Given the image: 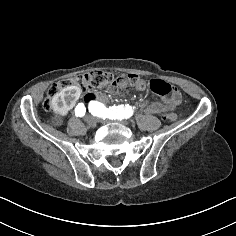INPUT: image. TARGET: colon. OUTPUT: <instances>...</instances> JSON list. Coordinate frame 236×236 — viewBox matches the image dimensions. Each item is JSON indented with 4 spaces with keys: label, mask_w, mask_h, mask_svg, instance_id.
I'll list each match as a JSON object with an SVG mask.
<instances>
[{
    "label": "colon",
    "mask_w": 236,
    "mask_h": 236,
    "mask_svg": "<svg viewBox=\"0 0 236 236\" xmlns=\"http://www.w3.org/2000/svg\"><path fill=\"white\" fill-rule=\"evenodd\" d=\"M70 85L80 87L85 93L84 99L90 101L97 98L98 95L104 94L111 88L117 90H127L129 88L144 89L146 87V81L135 74L114 76L106 71H90L81 76L65 79L51 85L43 103L44 108L50 110L52 98L63 88ZM149 87L157 95L170 96L171 98L179 99L178 91L163 80H150ZM176 118L177 116L174 113H166L163 115V119L168 122H173Z\"/></svg>",
    "instance_id": "obj_1"
}]
</instances>
